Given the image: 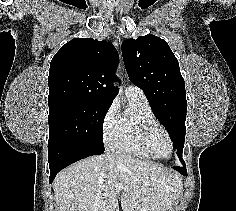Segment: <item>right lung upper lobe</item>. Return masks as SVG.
Masks as SVG:
<instances>
[{
	"mask_svg": "<svg viewBox=\"0 0 236 211\" xmlns=\"http://www.w3.org/2000/svg\"><path fill=\"white\" fill-rule=\"evenodd\" d=\"M117 66L118 53L110 42L72 39L51 60L49 107L70 101L112 104L118 93L111 85Z\"/></svg>",
	"mask_w": 236,
	"mask_h": 211,
	"instance_id": "right-lung-upper-lobe-1",
	"label": "right lung upper lobe"
}]
</instances>
